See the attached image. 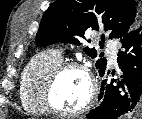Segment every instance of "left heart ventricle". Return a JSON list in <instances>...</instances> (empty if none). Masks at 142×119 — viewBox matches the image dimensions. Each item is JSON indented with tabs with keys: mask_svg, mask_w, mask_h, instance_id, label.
Wrapping results in <instances>:
<instances>
[{
	"mask_svg": "<svg viewBox=\"0 0 142 119\" xmlns=\"http://www.w3.org/2000/svg\"><path fill=\"white\" fill-rule=\"evenodd\" d=\"M89 94L86 76L79 70H69L59 79L53 99L56 106L64 111H73L81 107Z\"/></svg>",
	"mask_w": 142,
	"mask_h": 119,
	"instance_id": "b2bd125f",
	"label": "left heart ventricle"
}]
</instances>
